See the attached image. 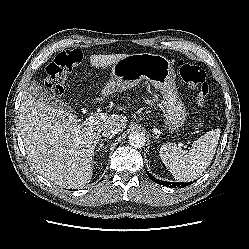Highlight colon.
Wrapping results in <instances>:
<instances>
[{
    "label": "colon",
    "mask_w": 249,
    "mask_h": 249,
    "mask_svg": "<svg viewBox=\"0 0 249 249\" xmlns=\"http://www.w3.org/2000/svg\"><path fill=\"white\" fill-rule=\"evenodd\" d=\"M83 60V53L79 49L65 50L56 55L47 66L45 87L57 98H60L65 89L68 76ZM178 70L183 81L196 90V103L205 106L209 96V88L206 83L204 70L184 60L178 62Z\"/></svg>",
    "instance_id": "5ec220e1"
}]
</instances>
